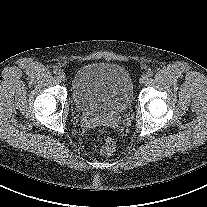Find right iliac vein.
Returning a JSON list of instances; mask_svg holds the SVG:
<instances>
[{
    "label": "right iliac vein",
    "mask_w": 207,
    "mask_h": 207,
    "mask_svg": "<svg viewBox=\"0 0 207 207\" xmlns=\"http://www.w3.org/2000/svg\"><path fill=\"white\" fill-rule=\"evenodd\" d=\"M58 78L61 80V81H65L66 80V75L63 71H59L58 72Z\"/></svg>",
    "instance_id": "63e3f726"
}]
</instances>
